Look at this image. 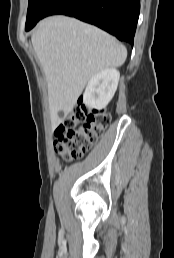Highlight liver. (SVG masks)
<instances>
[{
    "label": "liver",
    "mask_w": 174,
    "mask_h": 258,
    "mask_svg": "<svg viewBox=\"0 0 174 258\" xmlns=\"http://www.w3.org/2000/svg\"><path fill=\"white\" fill-rule=\"evenodd\" d=\"M48 86L52 128L67 116L88 80L98 72L120 67L127 49L108 33L77 19L57 15L42 20L31 37Z\"/></svg>",
    "instance_id": "1"
}]
</instances>
